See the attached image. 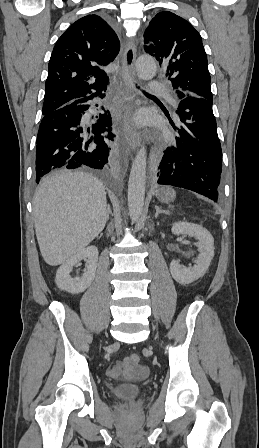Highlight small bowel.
I'll return each mask as SVG.
<instances>
[{"label":"small bowel","mask_w":259,"mask_h":448,"mask_svg":"<svg viewBox=\"0 0 259 448\" xmlns=\"http://www.w3.org/2000/svg\"><path fill=\"white\" fill-rule=\"evenodd\" d=\"M148 372L149 369L146 365L133 366L129 363L128 357H124L109 368L106 373L111 378L138 380L146 377Z\"/></svg>","instance_id":"c3829d8e"}]
</instances>
